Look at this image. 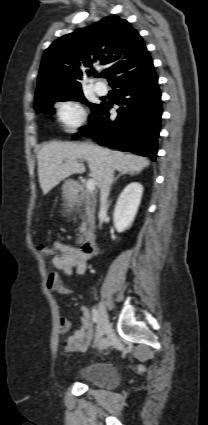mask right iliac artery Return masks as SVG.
<instances>
[{"label": "right iliac artery", "instance_id": "right-iliac-artery-1", "mask_svg": "<svg viewBox=\"0 0 208 425\" xmlns=\"http://www.w3.org/2000/svg\"><path fill=\"white\" fill-rule=\"evenodd\" d=\"M92 321H93V323L98 322V312L95 308L92 309Z\"/></svg>", "mask_w": 208, "mask_h": 425}]
</instances>
